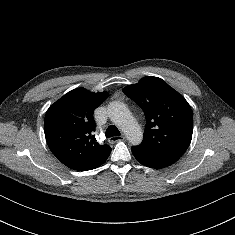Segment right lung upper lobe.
<instances>
[{
    "mask_svg": "<svg viewBox=\"0 0 235 235\" xmlns=\"http://www.w3.org/2000/svg\"><path fill=\"white\" fill-rule=\"evenodd\" d=\"M107 96V92L93 93L77 88L47 110L44 120L47 144L67 167L78 171L91 170L108 158L111 148L96 141L93 118V111Z\"/></svg>",
    "mask_w": 235,
    "mask_h": 235,
    "instance_id": "right-lung-upper-lobe-1",
    "label": "right lung upper lobe"
}]
</instances>
